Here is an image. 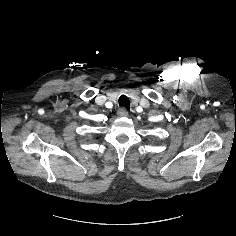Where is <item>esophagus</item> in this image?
I'll use <instances>...</instances> for the list:
<instances>
[{"mask_svg":"<svg viewBox=\"0 0 236 236\" xmlns=\"http://www.w3.org/2000/svg\"><path fill=\"white\" fill-rule=\"evenodd\" d=\"M118 115H119L120 117H126V116L128 115V110L125 109V108H120V109L118 110Z\"/></svg>","mask_w":236,"mask_h":236,"instance_id":"34e87169","label":"esophagus"}]
</instances>
